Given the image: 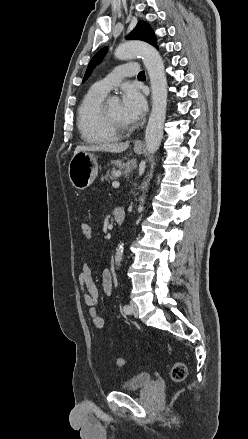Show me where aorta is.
Segmentation results:
<instances>
[{
    "label": "aorta",
    "instance_id": "762f6f07",
    "mask_svg": "<svg viewBox=\"0 0 248 439\" xmlns=\"http://www.w3.org/2000/svg\"><path fill=\"white\" fill-rule=\"evenodd\" d=\"M140 56L146 67L152 89V110L145 131L146 148L155 153L163 137V128L167 108V80L164 63L159 52L151 45L141 41H130L120 44L115 50V57L121 60ZM144 197L140 198L139 208H143ZM124 245L119 243L116 248L115 263L117 266L123 257Z\"/></svg>",
    "mask_w": 248,
    "mask_h": 439
}]
</instances>
